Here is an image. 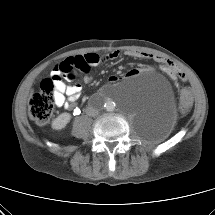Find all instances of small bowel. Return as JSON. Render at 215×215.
Instances as JSON below:
<instances>
[{
  "mask_svg": "<svg viewBox=\"0 0 215 215\" xmlns=\"http://www.w3.org/2000/svg\"><path fill=\"white\" fill-rule=\"evenodd\" d=\"M126 55L132 58H151L157 62L165 63L164 59L144 52L127 51ZM118 56H119L118 51H112L105 55H99L97 53H87L76 57H69L66 60L71 61L74 64V67H76L77 73L81 72L84 74V82L89 83L92 80V77L90 75V71L92 68L102 65L106 61L114 60L118 58ZM59 65H57L56 67H58ZM55 68L51 71L50 75L55 74ZM135 74H137V71L133 70L128 75L132 76ZM66 79L72 80L73 78H66ZM118 80L119 78L115 75H112L109 77V81L111 83H115ZM81 92H82V87L80 84L67 85L62 81V79H58L55 81V103L59 107H64L66 109H73L75 107L77 100L81 95Z\"/></svg>",
  "mask_w": 215,
  "mask_h": 215,
  "instance_id": "small-bowel-1",
  "label": "small bowel"
}]
</instances>
